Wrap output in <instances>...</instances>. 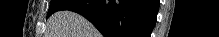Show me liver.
Segmentation results:
<instances>
[{
  "label": "liver",
  "mask_w": 219,
  "mask_h": 37,
  "mask_svg": "<svg viewBox=\"0 0 219 37\" xmlns=\"http://www.w3.org/2000/svg\"><path fill=\"white\" fill-rule=\"evenodd\" d=\"M49 37H97L93 25L81 15L64 10L53 14L48 20Z\"/></svg>",
  "instance_id": "liver-1"
}]
</instances>
